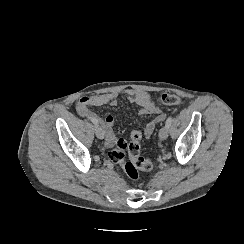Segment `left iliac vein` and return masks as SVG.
Here are the masks:
<instances>
[{
  "label": "left iliac vein",
  "instance_id": "left-iliac-vein-1",
  "mask_svg": "<svg viewBox=\"0 0 244 244\" xmlns=\"http://www.w3.org/2000/svg\"><path fill=\"white\" fill-rule=\"evenodd\" d=\"M168 137V127L163 126L159 131L160 140H165Z\"/></svg>",
  "mask_w": 244,
  "mask_h": 244
}]
</instances>
